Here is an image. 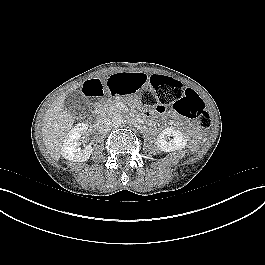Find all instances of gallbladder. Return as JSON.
I'll return each instance as SVG.
<instances>
[{
	"instance_id": "obj_1",
	"label": "gallbladder",
	"mask_w": 265,
	"mask_h": 265,
	"mask_svg": "<svg viewBox=\"0 0 265 265\" xmlns=\"http://www.w3.org/2000/svg\"><path fill=\"white\" fill-rule=\"evenodd\" d=\"M64 108L76 118L85 117L88 113L87 101L79 92L66 94Z\"/></svg>"
}]
</instances>
